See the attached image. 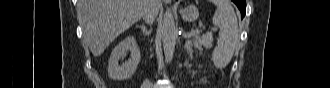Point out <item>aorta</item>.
<instances>
[{"label":"aorta","mask_w":330,"mask_h":88,"mask_svg":"<svg viewBox=\"0 0 330 88\" xmlns=\"http://www.w3.org/2000/svg\"><path fill=\"white\" fill-rule=\"evenodd\" d=\"M161 37L165 60L167 63H170L174 56L175 44L177 39L175 20L170 9H167L163 16Z\"/></svg>","instance_id":"aorta-1"}]
</instances>
